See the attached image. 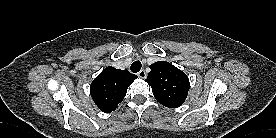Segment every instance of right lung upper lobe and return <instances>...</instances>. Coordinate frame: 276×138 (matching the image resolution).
Wrapping results in <instances>:
<instances>
[{
    "instance_id": "cb5924a9",
    "label": "right lung upper lobe",
    "mask_w": 276,
    "mask_h": 138,
    "mask_svg": "<svg viewBox=\"0 0 276 138\" xmlns=\"http://www.w3.org/2000/svg\"><path fill=\"white\" fill-rule=\"evenodd\" d=\"M137 78L127 70L105 68L91 83L90 94L105 113L114 111L126 95L128 86Z\"/></svg>"
}]
</instances>
